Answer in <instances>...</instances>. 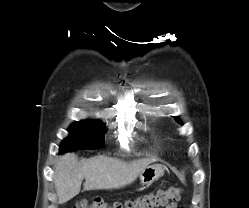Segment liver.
I'll use <instances>...</instances> for the list:
<instances>
[{"mask_svg":"<svg viewBox=\"0 0 249 208\" xmlns=\"http://www.w3.org/2000/svg\"><path fill=\"white\" fill-rule=\"evenodd\" d=\"M155 158L124 162L119 159L96 156L78 161L73 153L61 156L54 168V183L59 203H65L84 190L118 189L133 183L142 170Z\"/></svg>","mask_w":249,"mask_h":208,"instance_id":"6515ba94","label":"liver"}]
</instances>
